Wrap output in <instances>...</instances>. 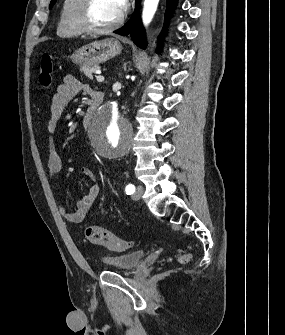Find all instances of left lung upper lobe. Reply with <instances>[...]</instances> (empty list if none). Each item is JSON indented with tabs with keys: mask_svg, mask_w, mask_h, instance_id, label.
I'll return each instance as SVG.
<instances>
[{
	"mask_svg": "<svg viewBox=\"0 0 285 335\" xmlns=\"http://www.w3.org/2000/svg\"><path fill=\"white\" fill-rule=\"evenodd\" d=\"M56 1H57V0H51V3H50L49 8H51V7L55 4Z\"/></svg>",
	"mask_w": 285,
	"mask_h": 335,
	"instance_id": "left-lung-upper-lobe-1",
	"label": "left lung upper lobe"
}]
</instances>
